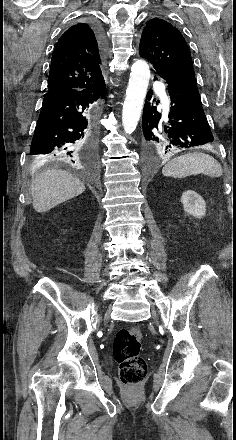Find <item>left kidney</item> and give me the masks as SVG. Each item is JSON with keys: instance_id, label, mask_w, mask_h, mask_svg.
<instances>
[{"instance_id": "obj_1", "label": "left kidney", "mask_w": 236, "mask_h": 440, "mask_svg": "<svg viewBox=\"0 0 236 440\" xmlns=\"http://www.w3.org/2000/svg\"><path fill=\"white\" fill-rule=\"evenodd\" d=\"M181 202L185 212L196 218H202L206 212V203L204 199L195 191L187 190L183 192Z\"/></svg>"}]
</instances>
